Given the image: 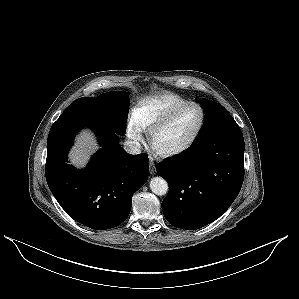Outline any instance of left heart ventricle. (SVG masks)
I'll use <instances>...</instances> for the list:
<instances>
[{
    "mask_svg": "<svg viewBox=\"0 0 299 299\" xmlns=\"http://www.w3.org/2000/svg\"><path fill=\"white\" fill-rule=\"evenodd\" d=\"M200 120V109L195 106L188 107L169 126L155 135L154 149L166 152L181 147L193 136Z\"/></svg>",
    "mask_w": 299,
    "mask_h": 299,
    "instance_id": "obj_1",
    "label": "left heart ventricle"
}]
</instances>
